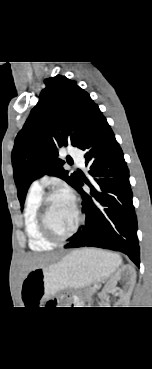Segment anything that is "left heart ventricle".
Listing matches in <instances>:
<instances>
[{"label":"left heart ventricle","instance_id":"left-heart-ventricle-1","mask_svg":"<svg viewBox=\"0 0 152 369\" xmlns=\"http://www.w3.org/2000/svg\"><path fill=\"white\" fill-rule=\"evenodd\" d=\"M77 220L72 200L64 194L54 196L49 203V223L58 235L69 233Z\"/></svg>","mask_w":152,"mask_h":369}]
</instances>
